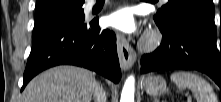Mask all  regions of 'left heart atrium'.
Masks as SVG:
<instances>
[{"mask_svg":"<svg viewBox=\"0 0 221 102\" xmlns=\"http://www.w3.org/2000/svg\"><path fill=\"white\" fill-rule=\"evenodd\" d=\"M106 22L109 26L124 33L132 34L138 30L137 20L129 8H120L111 13L106 18Z\"/></svg>","mask_w":221,"mask_h":102,"instance_id":"39dd6f15","label":"left heart atrium"}]
</instances>
